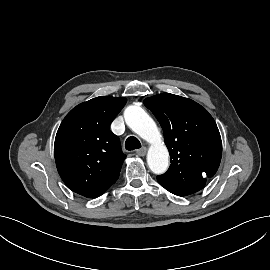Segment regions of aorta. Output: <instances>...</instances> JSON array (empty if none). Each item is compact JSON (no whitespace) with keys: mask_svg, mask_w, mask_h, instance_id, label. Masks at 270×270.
<instances>
[{"mask_svg":"<svg viewBox=\"0 0 270 270\" xmlns=\"http://www.w3.org/2000/svg\"><path fill=\"white\" fill-rule=\"evenodd\" d=\"M124 118L136 134L151 144L147 154L150 170L155 174L166 172L169 166V152L154 120L143 108L136 105L126 108Z\"/></svg>","mask_w":270,"mask_h":270,"instance_id":"obj_1","label":"aorta"}]
</instances>
